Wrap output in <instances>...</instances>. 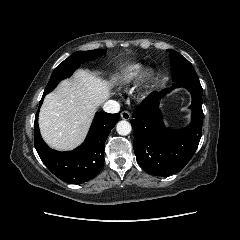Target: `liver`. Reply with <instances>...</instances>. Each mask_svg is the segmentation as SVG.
Returning <instances> with one entry per match:
<instances>
[{
    "label": "liver",
    "mask_w": 240,
    "mask_h": 240,
    "mask_svg": "<svg viewBox=\"0 0 240 240\" xmlns=\"http://www.w3.org/2000/svg\"><path fill=\"white\" fill-rule=\"evenodd\" d=\"M114 81L103 80L81 69L72 79L61 81L55 91L45 97L40 110L39 127L44 141L59 151L79 146L97 107L111 96Z\"/></svg>",
    "instance_id": "6515ba94"
}]
</instances>
